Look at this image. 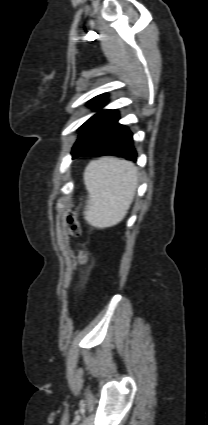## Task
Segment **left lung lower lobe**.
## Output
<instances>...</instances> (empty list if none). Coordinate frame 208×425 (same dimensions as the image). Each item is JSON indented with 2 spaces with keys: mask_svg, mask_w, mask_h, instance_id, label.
Wrapping results in <instances>:
<instances>
[{
  "mask_svg": "<svg viewBox=\"0 0 208 425\" xmlns=\"http://www.w3.org/2000/svg\"><path fill=\"white\" fill-rule=\"evenodd\" d=\"M116 110H104L79 134L82 145L79 156L113 155L136 161V151L132 146V133L118 123Z\"/></svg>",
  "mask_w": 208,
  "mask_h": 425,
  "instance_id": "1",
  "label": "left lung lower lobe"
}]
</instances>
